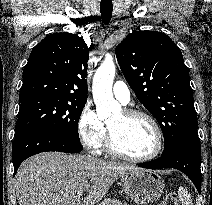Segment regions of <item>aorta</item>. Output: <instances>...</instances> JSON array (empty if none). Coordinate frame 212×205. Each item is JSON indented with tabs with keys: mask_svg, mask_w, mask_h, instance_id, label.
<instances>
[{
	"mask_svg": "<svg viewBox=\"0 0 212 205\" xmlns=\"http://www.w3.org/2000/svg\"><path fill=\"white\" fill-rule=\"evenodd\" d=\"M116 67L112 57H107L96 70L92 92L99 118L109 116L114 111L120 110V105L115 102L112 93V85Z\"/></svg>",
	"mask_w": 212,
	"mask_h": 205,
	"instance_id": "762f6f07",
	"label": "aorta"
}]
</instances>
